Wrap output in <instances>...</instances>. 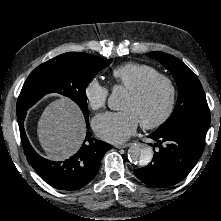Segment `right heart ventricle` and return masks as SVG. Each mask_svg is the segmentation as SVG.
I'll return each mask as SVG.
<instances>
[{"instance_id": "right-heart-ventricle-1", "label": "right heart ventricle", "mask_w": 221, "mask_h": 221, "mask_svg": "<svg viewBox=\"0 0 221 221\" xmlns=\"http://www.w3.org/2000/svg\"><path fill=\"white\" fill-rule=\"evenodd\" d=\"M158 74L155 67L138 62H127L115 67L111 73L114 85H121L127 90L138 85L149 76Z\"/></svg>"}]
</instances>
